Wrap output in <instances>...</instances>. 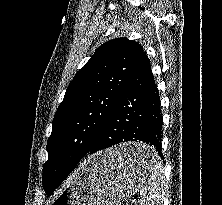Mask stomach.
<instances>
[{
  "instance_id": "1",
  "label": "stomach",
  "mask_w": 222,
  "mask_h": 205,
  "mask_svg": "<svg viewBox=\"0 0 222 205\" xmlns=\"http://www.w3.org/2000/svg\"><path fill=\"white\" fill-rule=\"evenodd\" d=\"M137 150L154 151L144 143L130 142L90 156L48 205H121L149 174L151 164L134 166L124 161Z\"/></svg>"
}]
</instances>
